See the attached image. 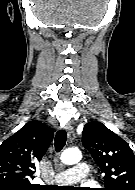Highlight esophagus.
Segmentation results:
<instances>
[{
	"label": "esophagus",
	"instance_id": "1",
	"mask_svg": "<svg viewBox=\"0 0 135 190\" xmlns=\"http://www.w3.org/2000/svg\"><path fill=\"white\" fill-rule=\"evenodd\" d=\"M65 129H66V131H67L69 140H70V141L74 140V138H75V133H74V128H73V126H72L71 124H67V125L65 126Z\"/></svg>",
	"mask_w": 135,
	"mask_h": 190
}]
</instances>
